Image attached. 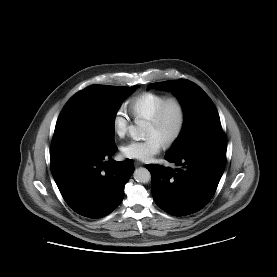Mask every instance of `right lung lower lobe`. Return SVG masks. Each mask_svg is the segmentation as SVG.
Returning a JSON list of instances; mask_svg holds the SVG:
<instances>
[{
	"label": "right lung lower lobe",
	"mask_w": 277,
	"mask_h": 277,
	"mask_svg": "<svg viewBox=\"0 0 277 277\" xmlns=\"http://www.w3.org/2000/svg\"><path fill=\"white\" fill-rule=\"evenodd\" d=\"M116 151V145L102 147L74 136H53L51 172L64 200L76 213L102 218L122 202L134 166L130 159L106 161Z\"/></svg>",
	"instance_id": "98d812e1"
}]
</instances>
